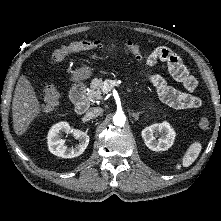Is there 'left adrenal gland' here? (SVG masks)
Returning <instances> with one entry per match:
<instances>
[{
  "label": "left adrenal gland",
  "mask_w": 221,
  "mask_h": 221,
  "mask_svg": "<svg viewBox=\"0 0 221 221\" xmlns=\"http://www.w3.org/2000/svg\"><path fill=\"white\" fill-rule=\"evenodd\" d=\"M143 113H144V111H139V112H133V111H132L131 115H132V117H133L136 121H138L139 115H140V114H143Z\"/></svg>",
  "instance_id": "a2214340"
}]
</instances>
